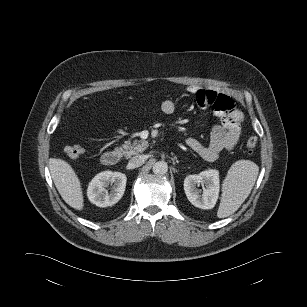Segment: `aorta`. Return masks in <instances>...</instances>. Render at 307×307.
I'll return each mask as SVG.
<instances>
[{
	"instance_id": "aorta-1",
	"label": "aorta",
	"mask_w": 307,
	"mask_h": 307,
	"mask_svg": "<svg viewBox=\"0 0 307 307\" xmlns=\"http://www.w3.org/2000/svg\"><path fill=\"white\" fill-rule=\"evenodd\" d=\"M168 171V165L165 161H158L153 165V172L156 175H164Z\"/></svg>"
}]
</instances>
